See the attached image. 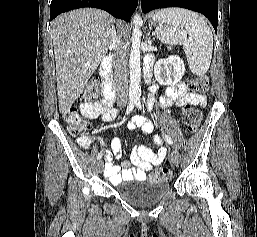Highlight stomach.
Wrapping results in <instances>:
<instances>
[{
	"instance_id": "0dacf381",
	"label": "stomach",
	"mask_w": 257,
	"mask_h": 237,
	"mask_svg": "<svg viewBox=\"0 0 257 237\" xmlns=\"http://www.w3.org/2000/svg\"><path fill=\"white\" fill-rule=\"evenodd\" d=\"M151 24H152V25H156V21H152Z\"/></svg>"
}]
</instances>
